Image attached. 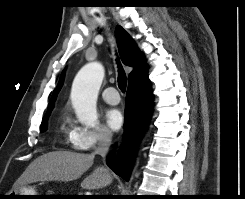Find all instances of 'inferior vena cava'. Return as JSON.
<instances>
[{
  "instance_id": "1",
  "label": "inferior vena cava",
  "mask_w": 245,
  "mask_h": 199,
  "mask_svg": "<svg viewBox=\"0 0 245 199\" xmlns=\"http://www.w3.org/2000/svg\"><path fill=\"white\" fill-rule=\"evenodd\" d=\"M111 141H112L111 132L108 130L101 131L98 138V147L95 149V151L92 154L93 155L98 154L102 157H105L111 145Z\"/></svg>"
}]
</instances>
